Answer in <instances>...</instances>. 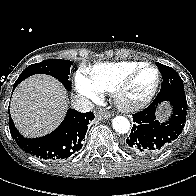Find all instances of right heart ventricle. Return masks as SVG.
Segmentation results:
<instances>
[{
  "mask_svg": "<svg viewBox=\"0 0 196 196\" xmlns=\"http://www.w3.org/2000/svg\"><path fill=\"white\" fill-rule=\"evenodd\" d=\"M142 64L139 61L99 63L89 68L87 74L101 92H112L127 74Z\"/></svg>",
  "mask_w": 196,
  "mask_h": 196,
  "instance_id": "e07e8e85",
  "label": "right heart ventricle"
}]
</instances>
